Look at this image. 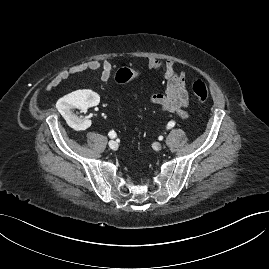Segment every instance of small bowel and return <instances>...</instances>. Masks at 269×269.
<instances>
[{
    "mask_svg": "<svg viewBox=\"0 0 269 269\" xmlns=\"http://www.w3.org/2000/svg\"><path fill=\"white\" fill-rule=\"evenodd\" d=\"M149 68L160 71L165 85L163 93L151 94L148 101L163 111L174 113L182 119L188 117L186 111L189 105V95L185 72L177 67L173 60H161L155 57L146 59ZM78 71H98L103 82L109 83L112 79L114 66L109 60H88L77 67ZM135 76L138 72H134ZM68 76L67 71H62L53 77L46 85V90L57 87Z\"/></svg>",
    "mask_w": 269,
    "mask_h": 269,
    "instance_id": "small-bowel-1",
    "label": "small bowel"
}]
</instances>
